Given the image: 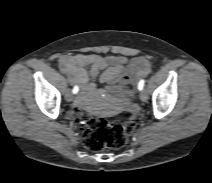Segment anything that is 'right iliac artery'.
<instances>
[{
	"label": "right iliac artery",
	"mask_w": 212,
	"mask_h": 183,
	"mask_svg": "<svg viewBox=\"0 0 212 183\" xmlns=\"http://www.w3.org/2000/svg\"><path fill=\"white\" fill-rule=\"evenodd\" d=\"M78 90H79L78 86H75V87L73 88L72 92H73L74 94H76V93L78 92Z\"/></svg>",
	"instance_id": "82829eb1"
}]
</instances>
